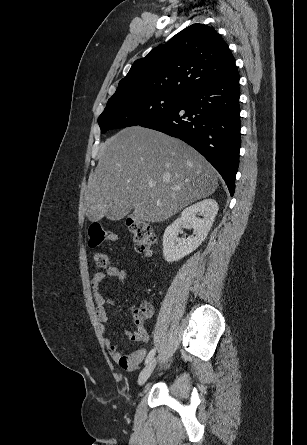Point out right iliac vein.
<instances>
[{
  "instance_id": "1",
  "label": "right iliac vein",
  "mask_w": 307,
  "mask_h": 445,
  "mask_svg": "<svg viewBox=\"0 0 307 445\" xmlns=\"http://www.w3.org/2000/svg\"><path fill=\"white\" fill-rule=\"evenodd\" d=\"M156 365V359H152L147 365L146 367L141 371L139 378H138V384L141 386L143 385L148 378L150 377V375L152 374L154 368Z\"/></svg>"
}]
</instances>
